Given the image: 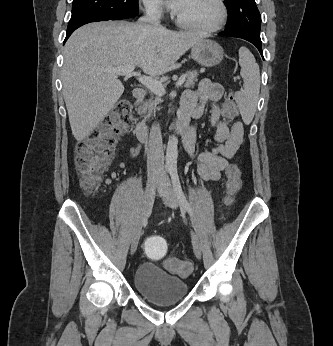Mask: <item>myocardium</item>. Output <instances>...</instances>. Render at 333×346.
Instances as JSON below:
<instances>
[{"mask_svg": "<svg viewBox=\"0 0 333 346\" xmlns=\"http://www.w3.org/2000/svg\"><path fill=\"white\" fill-rule=\"evenodd\" d=\"M215 2L217 3V5L219 7L220 15H219L218 21L212 26H209V27L197 26V25L192 24L188 21H185L178 14L175 15V21L182 28H185V29H188L191 31H195L198 33L210 34V33L217 32V31L221 30L227 22L228 9H227V6H226V3L224 0H215Z\"/></svg>", "mask_w": 333, "mask_h": 346, "instance_id": "1", "label": "myocardium"}]
</instances>
